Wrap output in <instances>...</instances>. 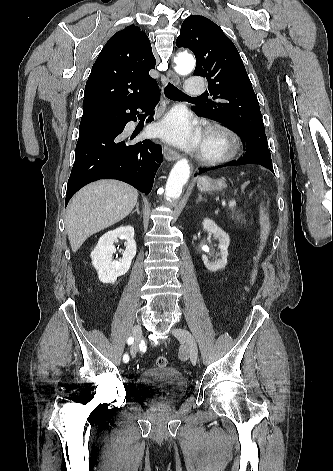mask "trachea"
Returning <instances> with one entry per match:
<instances>
[{"instance_id":"1","label":"trachea","mask_w":333,"mask_h":471,"mask_svg":"<svg viewBox=\"0 0 333 471\" xmlns=\"http://www.w3.org/2000/svg\"><path fill=\"white\" fill-rule=\"evenodd\" d=\"M164 93L165 95L174 100V101H182V100H188V99H198V98H201V97H196V98H191L189 97L188 95H186L185 93H183L181 90H179L178 88H176L174 85H172L171 83H169L167 85V87L165 88L164 90Z\"/></svg>"}]
</instances>
